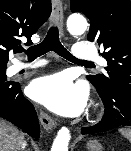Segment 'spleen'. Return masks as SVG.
<instances>
[{
  "label": "spleen",
  "mask_w": 131,
  "mask_h": 151,
  "mask_svg": "<svg viewBox=\"0 0 131 151\" xmlns=\"http://www.w3.org/2000/svg\"><path fill=\"white\" fill-rule=\"evenodd\" d=\"M119 132L131 143V129L121 128L119 129Z\"/></svg>",
  "instance_id": "1"
}]
</instances>
